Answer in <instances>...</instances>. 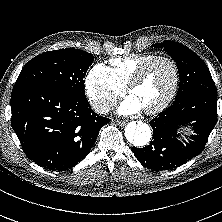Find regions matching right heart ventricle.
Returning <instances> with one entry per match:
<instances>
[{"label":"right heart ventricle","instance_id":"e07e8e85","mask_svg":"<svg viewBox=\"0 0 222 222\" xmlns=\"http://www.w3.org/2000/svg\"><path fill=\"white\" fill-rule=\"evenodd\" d=\"M154 56L153 53H142L112 58L110 69L116 80L126 87L136 70Z\"/></svg>","mask_w":222,"mask_h":222}]
</instances>
